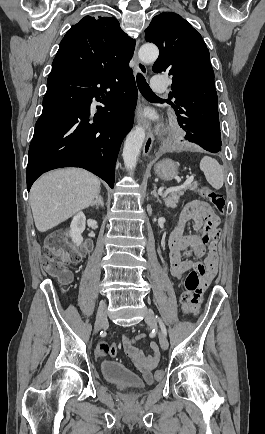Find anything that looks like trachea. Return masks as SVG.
<instances>
[{"label":"trachea","instance_id":"trachea-1","mask_svg":"<svg viewBox=\"0 0 265 434\" xmlns=\"http://www.w3.org/2000/svg\"><path fill=\"white\" fill-rule=\"evenodd\" d=\"M137 85L142 95L158 99V97L155 96L154 92L149 87L143 75L140 73L137 74Z\"/></svg>","mask_w":265,"mask_h":434}]
</instances>
